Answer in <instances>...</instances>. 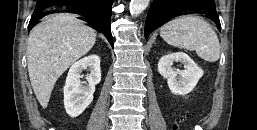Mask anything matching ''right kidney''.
Wrapping results in <instances>:
<instances>
[{"label": "right kidney", "instance_id": "right-kidney-1", "mask_svg": "<svg viewBox=\"0 0 257 130\" xmlns=\"http://www.w3.org/2000/svg\"><path fill=\"white\" fill-rule=\"evenodd\" d=\"M88 68L91 73L86 76L87 86L82 85L80 78L82 70ZM101 81L100 58L91 54L82 58L70 68L63 88L64 107L71 117H77L93 101L95 86Z\"/></svg>", "mask_w": 257, "mask_h": 130}]
</instances>
